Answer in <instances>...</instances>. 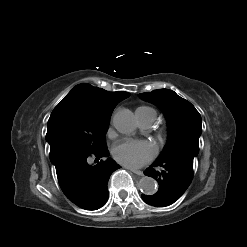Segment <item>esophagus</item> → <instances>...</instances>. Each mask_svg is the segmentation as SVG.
I'll list each match as a JSON object with an SVG mask.
<instances>
[{"instance_id":"1","label":"esophagus","mask_w":247,"mask_h":247,"mask_svg":"<svg viewBox=\"0 0 247 247\" xmlns=\"http://www.w3.org/2000/svg\"><path fill=\"white\" fill-rule=\"evenodd\" d=\"M129 170H130L131 172H133V173L139 175V176H142V175H143V172L140 171V170H136V169H129Z\"/></svg>"}]
</instances>
